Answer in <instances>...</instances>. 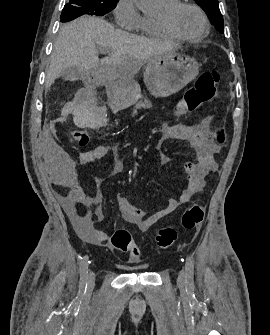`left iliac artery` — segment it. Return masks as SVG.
Here are the masks:
<instances>
[{"instance_id":"obj_1","label":"left iliac artery","mask_w":270,"mask_h":335,"mask_svg":"<svg viewBox=\"0 0 270 335\" xmlns=\"http://www.w3.org/2000/svg\"><path fill=\"white\" fill-rule=\"evenodd\" d=\"M186 284L188 288H193L194 286V262L191 257L186 258Z\"/></svg>"}]
</instances>
